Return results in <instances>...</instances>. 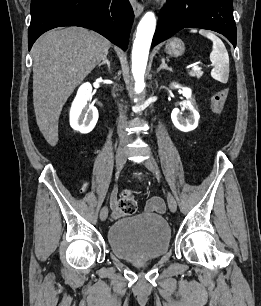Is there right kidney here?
<instances>
[{"mask_svg":"<svg viewBox=\"0 0 261 306\" xmlns=\"http://www.w3.org/2000/svg\"><path fill=\"white\" fill-rule=\"evenodd\" d=\"M91 92L92 86L90 83L82 84L70 109V125L82 134L91 132L98 120V110L88 104Z\"/></svg>","mask_w":261,"mask_h":306,"instance_id":"obj_1","label":"right kidney"}]
</instances>
